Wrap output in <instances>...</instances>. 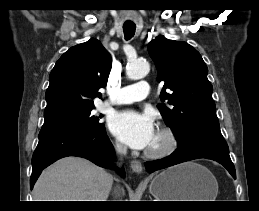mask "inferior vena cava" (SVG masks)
Listing matches in <instances>:
<instances>
[{
	"mask_svg": "<svg viewBox=\"0 0 259 211\" xmlns=\"http://www.w3.org/2000/svg\"><path fill=\"white\" fill-rule=\"evenodd\" d=\"M116 150L121 155H126L127 153V147L119 143L116 144Z\"/></svg>",
	"mask_w": 259,
	"mask_h": 211,
	"instance_id": "1",
	"label": "inferior vena cava"
}]
</instances>
